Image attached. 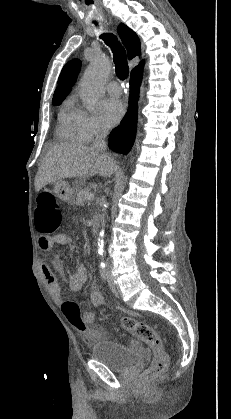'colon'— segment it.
Returning <instances> with one entry per match:
<instances>
[{"mask_svg": "<svg viewBox=\"0 0 231 419\" xmlns=\"http://www.w3.org/2000/svg\"><path fill=\"white\" fill-rule=\"evenodd\" d=\"M62 210L53 193L43 192L37 198L35 225L38 232L46 235L56 232L62 223ZM62 312L68 322L88 341L96 337V331L89 328L79 305L74 301H65L61 305ZM123 329L133 333L138 339L150 347L153 352L151 366L145 372L144 381L163 373L168 365V357L163 349V343L155 329L148 323L139 321L131 316H124L120 320Z\"/></svg>", "mask_w": 231, "mask_h": 419, "instance_id": "obj_1", "label": "colon"}]
</instances>
